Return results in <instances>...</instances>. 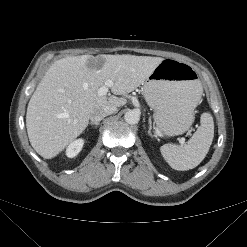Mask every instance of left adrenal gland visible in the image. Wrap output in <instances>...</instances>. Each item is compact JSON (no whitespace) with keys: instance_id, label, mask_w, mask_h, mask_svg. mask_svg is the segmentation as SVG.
I'll return each instance as SVG.
<instances>
[{"instance_id":"obj_1","label":"left adrenal gland","mask_w":247,"mask_h":247,"mask_svg":"<svg viewBox=\"0 0 247 247\" xmlns=\"http://www.w3.org/2000/svg\"><path fill=\"white\" fill-rule=\"evenodd\" d=\"M151 129H152V122H151V117L149 118V127H148V134L152 136L151 134Z\"/></svg>"}]
</instances>
